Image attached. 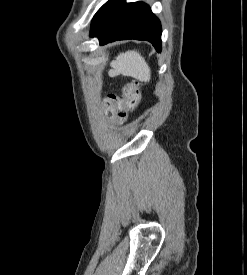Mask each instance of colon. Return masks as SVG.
<instances>
[{
    "mask_svg": "<svg viewBox=\"0 0 247 275\" xmlns=\"http://www.w3.org/2000/svg\"><path fill=\"white\" fill-rule=\"evenodd\" d=\"M140 102V89L137 82H130L123 88V96L113 94L105 98L104 104L108 118L117 124L124 123L129 113L133 112Z\"/></svg>",
    "mask_w": 247,
    "mask_h": 275,
    "instance_id": "1",
    "label": "colon"
}]
</instances>
